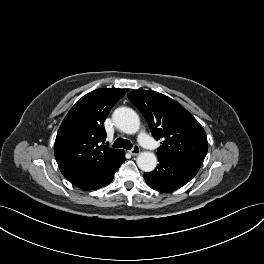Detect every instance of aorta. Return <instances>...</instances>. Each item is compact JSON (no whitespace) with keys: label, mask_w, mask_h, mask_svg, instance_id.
Masks as SVG:
<instances>
[{"label":"aorta","mask_w":264,"mask_h":264,"mask_svg":"<svg viewBox=\"0 0 264 264\" xmlns=\"http://www.w3.org/2000/svg\"><path fill=\"white\" fill-rule=\"evenodd\" d=\"M113 120L118 129L127 134H134L140 128V119L137 113L128 107H119L113 113ZM137 165L144 172L155 169L157 158L152 152H141L137 157Z\"/></svg>","instance_id":"1"}]
</instances>
